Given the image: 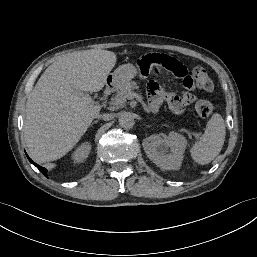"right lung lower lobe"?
Here are the masks:
<instances>
[{"label":"right lung lower lobe","instance_id":"obj_1","mask_svg":"<svg viewBox=\"0 0 257 257\" xmlns=\"http://www.w3.org/2000/svg\"><path fill=\"white\" fill-rule=\"evenodd\" d=\"M27 155V154H26ZM28 157V156H27ZM29 161L34 164L41 173H43V175H45L47 177V170L41 166H39L38 164L34 163L29 157H28Z\"/></svg>","mask_w":257,"mask_h":257}]
</instances>
